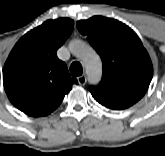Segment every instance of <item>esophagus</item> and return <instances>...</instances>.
Listing matches in <instances>:
<instances>
[{"label":"esophagus","instance_id":"1","mask_svg":"<svg viewBox=\"0 0 165 156\" xmlns=\"http://www.w3.org/2000/svg\"><path fill=\"white\" fill-rule=\"evenodd\" d=\"M77 80H78V83H79L80 85H85V84H86V81H87V78H86L85 75H81V76H79V77L77 78Z\"/></svg>","mask_w":165,"mask_h":156}]
</instances>
